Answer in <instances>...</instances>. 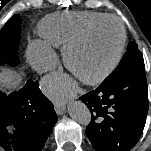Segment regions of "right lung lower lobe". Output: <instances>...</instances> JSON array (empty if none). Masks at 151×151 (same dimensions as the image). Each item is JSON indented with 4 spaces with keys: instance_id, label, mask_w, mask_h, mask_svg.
<instances>
[{
    "instance_id": "98d812e1",
    "label": "right lung lower lobe",
    "mask_w": 151,
    "mask_h": 151,
    "mask_svg": "<svg viewBox=\"0 0 151 151\" xmlns=\"http://www.w3.org/2000/svg\"><path fill=\"white\" fill-rule=\"evenodd\" d=\"M0 116V148L5 151H41L58 119L53 104L32 80L9 97L0 92ZM9 126L14 134L7 131Z\"/></svg>"
}]
</instances>
